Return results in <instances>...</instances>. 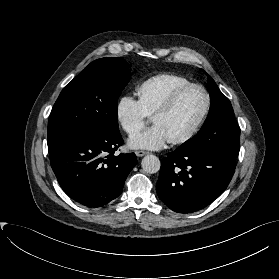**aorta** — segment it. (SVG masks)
<instances>
[{
	"label": "aorta",
	"instance_id": "obj_1",
	"mask_svg": "<svg viewBox=\"0 0 279 279\" xmlns=\"http://www.w3.org/2000/svg\"><path fill=\"white\" fill-rule=\"evenodd\" d=\"M141 166L146 173L153 174L160 170L161 163L157 156L147 155L142 159Z\"/></svg>",
	"mask_w": 279,
	"mask_h": 279
}]
</instances>
